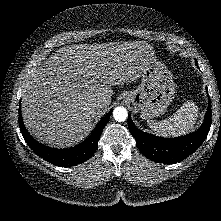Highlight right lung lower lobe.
Listing matches in <instances>:
<instances>
[{"instance_id": "right-lung-lower-lobe-1", "label": "right lung lower lobe", "mask_w": 221, "mask_h": 221, "mask_svg": "<svg viewBox=\"0 0 221 221\" xmlns=\"http://www.w3.org/2000/svg\"><path fill=\"white\" fill-rule=\"evenodd\" d=\"M111 114L112 110H110L109 113H107L106 116L98 123L95 130L85 141L68 149L50 148L33 139L23 124L20 109L19 127L25 142L35 154L56 166L69 167L83 163L93 155L97 149L101 133L108 123Z\"/></svg>"}]
</instances>
